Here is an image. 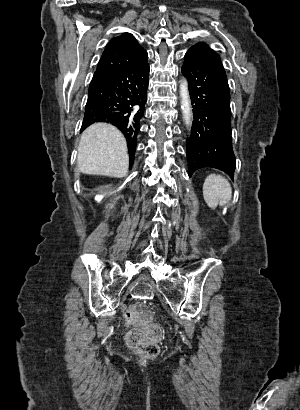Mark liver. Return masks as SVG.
I'll list each match as a JSON object with an SVG mask.
<instances>
[{
	"label": "liver",
	"instance_id": "1",
	"mask_svg": "<svg viewBox=\"0 0 300 410\" xmlns=\"http://www.w3.org/2000/svg\"><path fill=\"white\" fill-rule=\"evenodd\" d=\"M77 162L84 174L125 177L129 166L126 139L115 126L95 123L81 135Z\"/></svg>",
	"mask_w": 300,
	"mask_h": 410
}]
</instances>
